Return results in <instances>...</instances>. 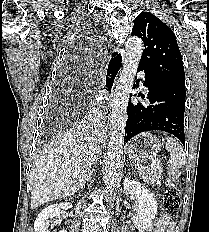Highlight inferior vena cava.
Instances as JSON below:
<instances>
[{
	"mask_svg": "<svg viewBox=\"0 0 209 232\" xmlns=\"http://www.w3.org/2000/svg\"><path fill=\"white\" fill-rule=\"evenodd\" d=\"M95 155H100V153H95Z\"/></svg>",
	"mask_w": 209,
	"mask_h": 232,
	"instance_id": "obj_1",
	"label": "inferior vena cava"
}]
</instances>
